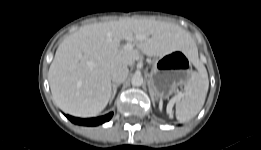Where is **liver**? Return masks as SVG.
I'll return each mask as SVG.
<instances>
[{
	"mask_svg": "<svg viewBox=\"0 0 261 150\" xmlns=\"http://www.w3.org/2000/svg\"><path fill=\"white\" fill-rule=\"evenodd\" d=\"M143 35L137 49H124L122 40ZM192 37L176 24L124 18L81 27L58 46L48 72L51 92L65 113L77 117L98 115L112 94L111 70L132 65L140 52L161 57L195 49Z\"/></svg>",
	"mask_w": 261,
	"mask_h": 150,
	"instance_id": "liver-1",
	"label": "liver"
}]
</instances>
